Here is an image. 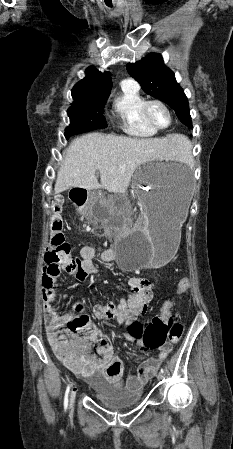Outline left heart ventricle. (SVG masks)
<instances>
[{
	"label": "left heart ventricle",
	"mask_w": 233,
	"mask_h": 449,
	"mask_svg": "<svg viewBox=\"0 0 233 449\" xmlns=\"http://www.w3.org/2000/svg\"><path fill=\"white\" fill-rule=\"evenodd\" d=\"M149 116L157 126H166L168 123V114L159 105H152L149 109Z\"/></svg>",
	"instance_id": "1"
}]
</instances>
